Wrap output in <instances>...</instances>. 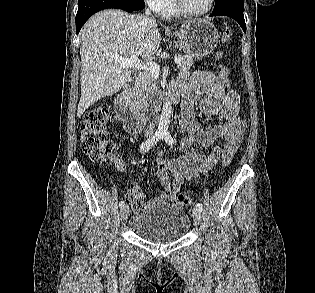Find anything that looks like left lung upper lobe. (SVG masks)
I'll use <instances>...</instances> for the list:
<instances>
[{"mask_svg":"<svg viewBox=\"0 0 315 293\" xmlns=\"http://www.w3.org/2000/svg\"><path fill=\"white\" fill-rule=\"evenodd\" d=\"M224 9L243 10V0H216L213 12H218Z\"/></svg>","mask_w":315,"mask_h":293,"instance_id":"obj_1","label":"left lung upper lobe"}]
</instances>
